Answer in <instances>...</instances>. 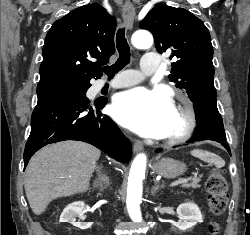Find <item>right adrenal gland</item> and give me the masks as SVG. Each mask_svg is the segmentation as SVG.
Segmentation results:
<instances>
[{
    "label": "right adrenal gland",
    "instance_id": "1",
    "mask_svg": "<svg viewBox=\"0 0 250 235\" xmlns=\"http://www.w3.org/2000/svg\"><path fill=\"white\" fill-rule=\"evenodd\" d=\"M103 166H97L95 171L97 173V178L93 181V188L99 191H103L105 188L109 186V178L103 172Z\"/></svg>",
    "mask_w": 250,
    "mask_h": 235
}]
</instances>
